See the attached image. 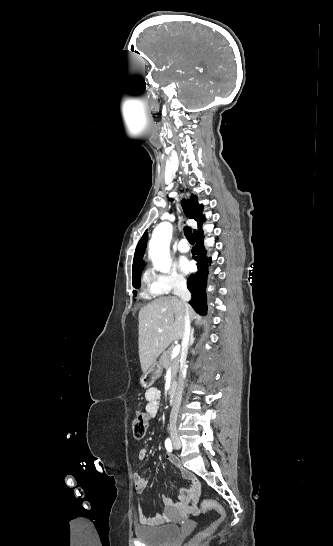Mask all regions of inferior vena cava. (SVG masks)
I'll list each match as a JSON object with an SVG mask.
<instances>
[{"label":"inferior vena cava","mask_w":333,"mask_h":546,"mask_svg":"<svg viewBox=\"0 0 333 546\" xmlns=\"http://www.w3.org/2000/svg\"><path fill=\"white\" fill-rule=\"evenodd\" d=\"M173 289H174V295L178 296L183 301L185 306L184 317H183L184 329H183V335H182V356L183 358H185L188 352V346L190 343V334H191V321H190V316L188 311L189 305L187 303L191 299V294L189 290L187 289L186 281L184 279H176L173 284ZM184 370H185L184 366H182L181 374L179 376L176 396H175V400H174L171 414H170L169 429L172 432L176 431L177 429V416H178L179 408L181 405L182 393L184 388V380H185Z\"/></svg>","instance_id":"1"}]
</instances>
